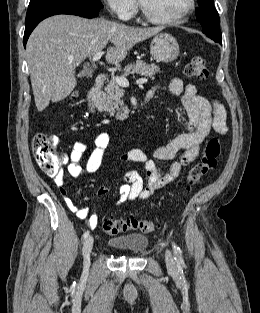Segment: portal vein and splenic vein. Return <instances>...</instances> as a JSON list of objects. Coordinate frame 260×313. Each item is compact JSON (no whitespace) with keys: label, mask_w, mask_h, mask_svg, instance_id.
Here are the masks:
<instances>
[{"label":"portal vein and splenic vein","mask_w":260,"mask_h":313,"mask_svg":"<svg viewBox=\"0 0 260 313\" xmlns=\"http://www.w3.org/2000/svg\"><path fill=\"white\" fill-rule=\"evenodd\" d=\"M103 55L102 51L97 52L94 56H93V61H98ZM116 83L122 87H128L129 86V81L125 78V77H115ZM148 80L146 78H141L138 79L136 81L137 84H143L146 83Z\"/></svg>","instance_id":"18ae733b"}]
</instances>
